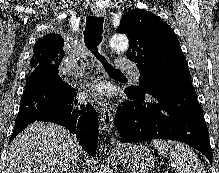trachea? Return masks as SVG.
<instances>
[{"instance_id": "3493384b", "label": "trachea", "mask_w": 219, "mask_h": 173, "mask_svg": "<svg viewBox=\"0 0 219 173\" xmlns=\"http://www.w3.org/2000/svg\"><path fill=\"white\" fill-rule=\"evenodd\" d=\"M103 22V17L88 16L86 18V26L83 32L85 46L102 63L108 74L122 75V72L112 67L106 58L99 53L98 46L102 42Z\"/></svg>"}]
</instances>
